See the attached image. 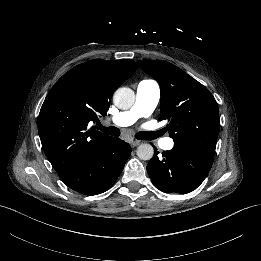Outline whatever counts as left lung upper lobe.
I'll return each mask as SVG.
<instances>
[{
	"mask_svg": "<svg viewBox=\"0 0 261 261\" xmlns=\"http://www.w3.org/2000/svg\"><path fill=\"white\" fill-rule=\"evenodd\" d=\"M161 88V117L168 120L174 143H198L216 148L219 111L212 94L177 66L161 60L138 61Z\"/></svg>",
	"mask_w": 261,
	"mask_h": 261,
	"instance_id": "obj_1",
	"label": "left lung upper lobe"
}]
</instances>
